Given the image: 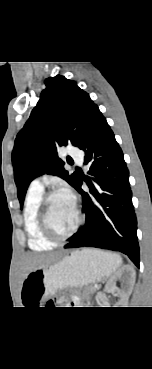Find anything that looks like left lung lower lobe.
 Listing matches in <instances>:
<instances>
[{"label":"left lung lower lobe","instance_id":"1","mask_svg":"<svg viewBox=\"0 0 152 369\" xmlns=\"http://www.w3.org/2000/svg\"><path fill=\"white\" fill-rule=\"evenodd\" d=\"M85 151L89 171L82 178L89 192L81 189L78 177L74 188L82 195L85 225L64 248L97 247L120 251L139 267L137 219L132 204L129 171L123 152L99 109L77 146Z\"/></svg>","mask_w":152,"mask_h":369}]
</instances>
